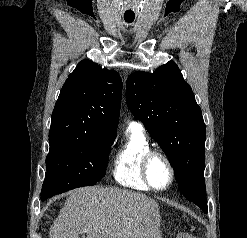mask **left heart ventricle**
<instances>
[{"mask_svg": "<svg viewBox=\"0 0 247 238\" xmlns=\"http://www.w3.org/2000/svg\"><path fill=\"white\" fill-rule=\"evenodd\" d=\"M149 176L152 183L157 187L165 186L170 179V171L163 159L155 157L149 165Z\"/></svg>", "mask_w": 247, "mask_h": 238, "instance_id": "1", "label": "left heart ventricle"}]
</instances>
